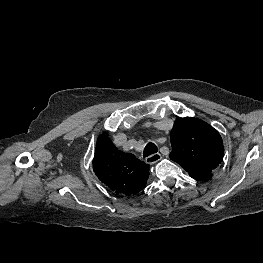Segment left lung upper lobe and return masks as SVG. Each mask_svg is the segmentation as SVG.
<instances>
[{"mask_svg": "<svg viewBox=\"0 0 263 263\" xmlns=\"http://www.w3.org/2000/svg\"><path fill=\"white\" fill-rule=\"evenodd\" d=\"M170 159L198 181H208L222 162L223 140L208 123L193 117L177 118L171 131Z\"/></svg>", "mask_w": 263, "mask_h": 263, "instance_id": "obj_1", "label": "left lung upper lobe"}]
</instances>
